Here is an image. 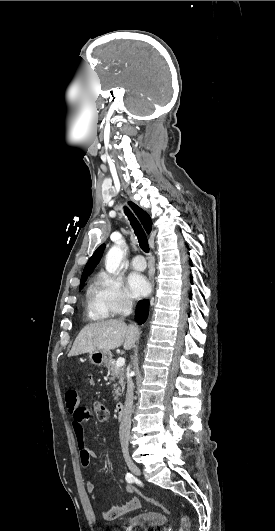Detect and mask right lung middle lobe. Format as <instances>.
Segmentation results:
<instances>
[{
  "label": "right lung middle lobe",
  "instance_id": "right-lung-middle-lobe-1",
  "mask_svg": "<svg viewBox=\"0 0 275 531\" xmlns=\"http://www.w3.org/2000/svg\"><path fill=\"white\" fill-rule=\"evenodd\" d=\"M83 284H84V282H82V283L80 284V287H81Z\"/></svg>",
  "mask_w": 275,
  "mask_h": 531
}]
</instances>
